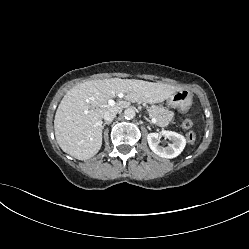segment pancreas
I'll return each instance as SVG.
<instances>
[{
	"instance_id": "obj_1",
	"label": "pancreas",
	"mask_w": 249,
	"mask_h": 249,
	"mask_svg": "<svg viewBox=\"0 0 249 249\" xmlns=\"http://www.w3.org/2000/svg\"><path fill=\"white\" fill-rule=\"evenodd\" d=\"M147 111L150 117H153L157 120V125L160 127H167L172 122L174 113L165 109L162 106L152 105L147 107Z\"/></svg>"
}]
</instances>
